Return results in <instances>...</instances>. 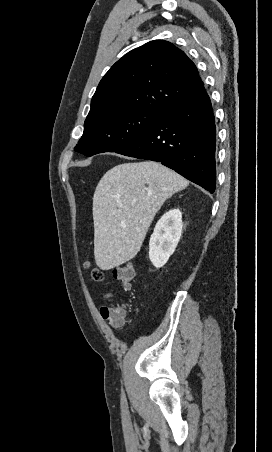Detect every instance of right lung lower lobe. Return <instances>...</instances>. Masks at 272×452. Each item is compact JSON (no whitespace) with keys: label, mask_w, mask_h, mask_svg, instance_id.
Returning <instances> with one entry per match:
<instances>
[{"label":"right lung lower lobe","mask_w":272,"mask_h":452,"mask_svg":"<svg viewBox=\"0 0 272 452\" xmlns=\"http://www.w3.org/2000/svg\"><path fill=\"white\" fill-rule=\"evenodd\" d=\"M215 151V118L203 86L163 112L141 137L117 153L160 162L214 193Z\"/></svg>","instance_id":"right-lung-lower-lobe-1"}]
</instances>
